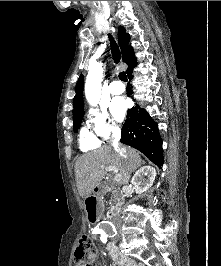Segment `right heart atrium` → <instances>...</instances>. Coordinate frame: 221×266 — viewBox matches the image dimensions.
<instances>
[{
    "mask_svg": "<svg viewBox=\"0 0 221 266\" xmlns=\"http://www.w3.org/2000/svg\"><path fill=\"white\" fill-rule=\"evenodd\" d=\"M87 118L94 134L100 140H109L121 132L119 125L110 117L105 108L90 109Z\"/></svg>",
    "mask_w": 221,
    "mask_h": 266,
    "instance_id": "right-heart-atrium-1",
    "label": "right heart atrium"
}]
</instances>
